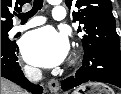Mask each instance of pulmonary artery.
Instances as JSON below:
<instances>
[{
    "label": "pulmonary artery",
    "instance_id": "pulmonary-artery-1",
    "mask_svg": "<svg viewBox=\"0 0 121 94\" xmlns=\"http://www.w3.org/2000/svg\"><path fill=\"white\" fill-rule=\"evenodd\" d=\"M52 17L56 21H64L66 19V10L63 6H55L52 12ZM46 19L41 16L33 17L24 25H15L11 30V34L27 30L29 28L45 23Z\"/></svg>",
    "mask_w": 121,
    "mask_h": 94
}]
</instances>
